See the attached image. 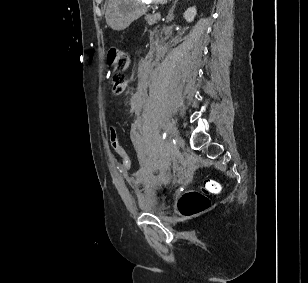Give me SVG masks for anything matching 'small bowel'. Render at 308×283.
Listing matches in <instances>:
<instances>
[{
  "label": "small bowel",
  "mask_w": 308,
  "mask_h": 283,
  "mask_svg": "<svg viewBox=\"0 0 308 283\" xmlns=\"http://www.w3.org/2000/svg\"><path fill=\"white\" fill-rule=\"evenodd\" d=\"M124 88H125V85L118 86V87L112 85V92L113 94L118 95L123 92ZM144 103H145L144 93L142 91L136 92L131 97V100H130V111L137 115L141 114L143 107H144Z\"/></svg>",
  "instance_id": "small-bowel-1"
}]
</instances>
